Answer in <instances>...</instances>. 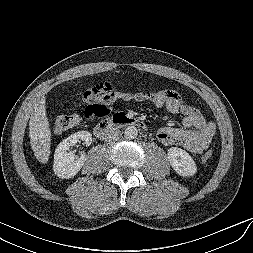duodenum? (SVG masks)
<instances>
[{"label": "duodenum", "instance_id": "obj_1", "mask_svg": "<svg viewBox=\"0 0 253 253\" xmlns=\"http://www.w3.org/2000/svg\"><path fill=\"white\" fill-rule=\"evenodd\" d=\"M116 126H134L145 129V123L137 118L129 117L125 113H116L112 117L99 122L93 128L95 136L102 138L105 137L112 128Z\"/></svg>", "mask_w": 253, "mask_h": 253}]
</instances>
